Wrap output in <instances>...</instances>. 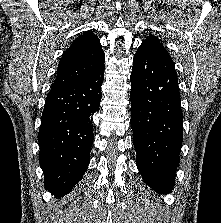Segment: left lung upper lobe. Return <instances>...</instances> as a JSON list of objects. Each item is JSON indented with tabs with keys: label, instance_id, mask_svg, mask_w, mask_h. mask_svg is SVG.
Instances as JSON below:
<instances>
[{
	"label": "left lung upper lobe",
	"instance_id": "5c2ea615",
	"mask_svg": "<svg viewBox=\"0 0 221 223\" xmlns=\"http://www.w3.org/2000/svg\"><path fill=\"white\" fill-rule=\"evenodd\" d=\"M140 47H150L152 49L162 50L163 52L169 54L162 45V43L155 36H149L144 42H142Z\"/></svg>",
	"mask_w": 221,
	"mask_h": 223
}]
</instances>
